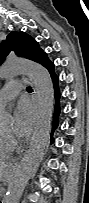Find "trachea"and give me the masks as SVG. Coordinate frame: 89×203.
<instances>
[{
  "label": "trachea",
  "mask_w": 89,
  "mask_h": 203,
  "mask_svg": "<svg viewBox=\"0 0 89 203\" xmlns=\"http://www.w3.org/2000/svg\"><path fill=\"white\" fill-rule=\"evenodd\" d=\"M26 90L27 91H33V89L31 87H27Z\"/></svg>",
  "instance_id": "obj_1"
}]
</instances>
